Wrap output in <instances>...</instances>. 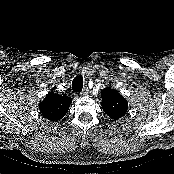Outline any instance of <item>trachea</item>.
<instances>
[{
	"instance_id": "obj_1",
	"label": "trachea",
	"mask_w": 174,
	"mask_h": 174,
	"mask_svg": "<svg viewBox=\"0 0 174 174\" xmlns=\"http://www.w3.org/2000/svg\"><path fill=\"white\" fill-rule=\"evenodd\" d=\"M83 89V77L81 75L76 76L72 81L73 92H81Z\"/></svg>"
}]
</instances>
